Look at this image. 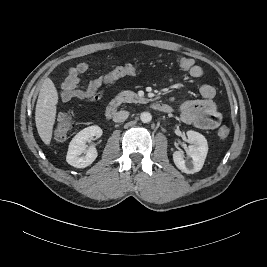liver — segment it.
Masks as SVG:
<instances>
[{"label": "liver", "mask_w": 267, "mask_h": 267, "mask_svg": "<svg viewBox=\"0 0 267 267\" xmlns=\"http://www.w3.org/2000/svg\"><path fill=\"white\" fill-rule=\"evenodd\" d=\"M57 103V89L53 81L50 78H46L41 86L35 110L37 131L46 145H49L52 139Z\"/></svg>", "instance_id": "1"}]
</instances>
